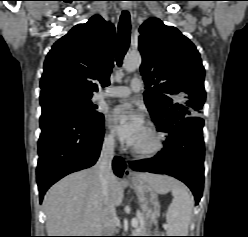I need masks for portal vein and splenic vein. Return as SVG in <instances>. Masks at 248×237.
I'll return each instance as SVG.
<instances>
[{"mask_svg": "<svg viewBox=\"0 0 248 237\" xmlns=\"http://www.w3.org/2000/svg\"><path fill=\"white\" fill-rule=\"evenodd\" d=\"M131 225H132V227H137L139 225L138 219L137 218H133L131 220Z\"/></svg>", "mask_w": 248, "mask_h": 237, "instance_id": "1", "label": "portal vein and splenic vein"}]
</instances>
